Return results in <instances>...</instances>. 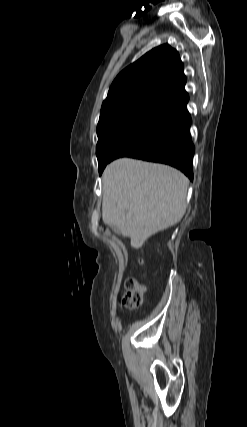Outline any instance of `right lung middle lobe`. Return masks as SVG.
<instances>
[{"label":"right lung middle lobe","mask_w":247,"mask_h":427,"mask_svg":"<svg viewBox=\"0 0 247 427\" xmlns=\"http://www.w3.org/2000/svg\"><path fill=\"white\" fill-rule=\"evenodd\" d=\"M152 111V109L136 107L100 116L97 125L98 143L96 146L100 174L119 144Z\"/></svg>","instance_id":"obj_1"}]
</instances>
